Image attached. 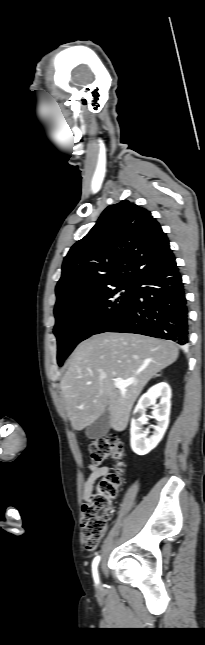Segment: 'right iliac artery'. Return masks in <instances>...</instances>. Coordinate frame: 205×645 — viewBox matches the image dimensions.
I'll return each instance as SVG.
<instances>
[{"instance_id": "obj_1", "label": "right iliac artery", "mask_w": 205, "mask_h": 645, "mask_svg": "<svg viewBox=\"0 0 205 645\" xmlns=\"http://www.w3.org/2000/svg\"><path fill=\"white\" fill-rule=\"evenodd\" d=\"M99 561H100V556H96L92 562V571H93V576L96 583L99 582L98 574H97V566L99 564Z\"/></svg>"}]
</instances>
